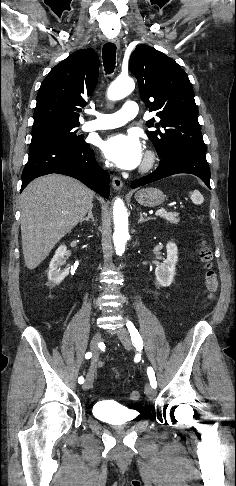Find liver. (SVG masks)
Listing matches in <instances>:
<instances>
[{
	"instance_id": "obj_1",
	"label": "liver",
	"mask_w": 236,
	"mask_h": 486,
	"mask_svg": "<svg viewBox=\"0 0 236 486\" xmlns=\"http://www.w3.org/2000/svg\"><path fill=\"white\" fill-rule=\"evenodd\" d=\"M94 192L79 181L51 174L32 181L21 195L25 265L35 269L93 205Z\"/></svg>"
}]
</instances>
